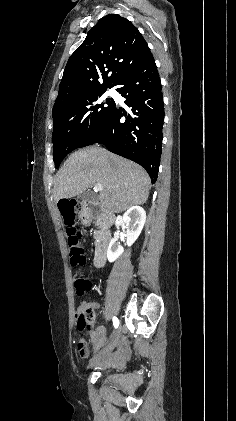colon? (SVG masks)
I'll return each mask as SVG.
<instances>
[{"mask_svg":"<svg viewBox=\"0 0 236 421\" xmlns=\"http://www.w3.org/2000/svg\"><path fill=\"white\" fill-rule=\"evenodd\" d=\"M62 208L64 213V223L68 235L70 261L74 266H81L86 261L84 249L81 245L83 233L76 225L75 213L72 206L64 204ZM73 280L77 296H82L90 290L91 281L84 272L77 271L74 274ZM94 318L95 314L92 307L88 305H81L76 313L78 330L82 332L89 328ZM77 351L81 357H84L87 354L88 348L84 340L79 339L77 341Z\"/></svg>","mask_w":236,"mask_h":421,"instance_id":"colon-1","label":"colon"}]
</instances>
